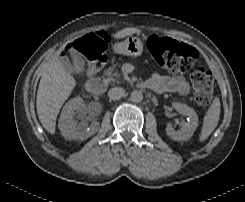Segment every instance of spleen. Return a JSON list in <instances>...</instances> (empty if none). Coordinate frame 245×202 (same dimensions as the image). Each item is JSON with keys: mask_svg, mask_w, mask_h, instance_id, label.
<instances>
[{"mask_svg": "<svg viewBox=\"0 0 245 202\" xmlns=\"http://www.w3.org/2000/svg\"><path fill=\"white\" fill-rule=\"evenodd\" d=\"M219 116L220 100L216 97L204 116L203 127L199 138L201 142L205 141L215 130L219 121Z\"/></svg>", "mask_w": 245, "mask_h": 202, "instance_id": "1", "label": "spleen"}]
</instances>
